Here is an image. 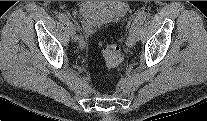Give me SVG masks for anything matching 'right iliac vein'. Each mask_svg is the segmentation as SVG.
<instances>
[{
    "mask_svg": "<svg viewBox=\"0 0 207 121\" xmlns=\"http://www.w3.org/2000/svg\"><path fill=\"white\" fill-rule=\"evenodd\" d=\"M67 26H68L69 35L71 36V38L74 41H77L78 40V37L76 36V28H75V25L72 22L68 21L67 22Z\"/></svg>",
    "mask_w": 207,
    "mask_h": 121,
    "instance_id": "63e3f726",
    "label": "right iliac vein"
}]
</instances>
